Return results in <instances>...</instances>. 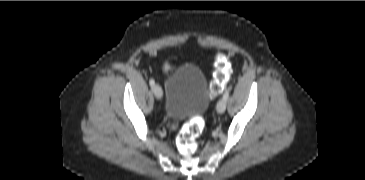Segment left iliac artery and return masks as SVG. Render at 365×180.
I'll return each mask as SVG.
<instances>
[{"mask_svg":"<svg viewBox=\"0 0 365 180\" xmlns=\"http://www.w3.org/2000/svg\"><path fill=\"white\" fill-rule=\"evenodd\" d=\"M228 97H229V91H228V90H226V91L224 92V94H223V99H225V100L227 101Z\"/></svg>","mask_w":365,"mask_h":180,"instance_id":"1","label":"left iliac artery"}]
</instances>
